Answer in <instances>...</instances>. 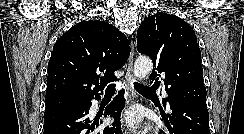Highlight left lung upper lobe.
I'll return each mask as SVG.
<instances>
[{
	"label": "left lung upper lobe",
	"instance_id": "left-lung-upper-lobe-1",
	"mask_svg": "<svg viewBox=\"0 0 244 134\" xmlns=\"http://www.w3.org/2000/svg\"><path fill=\"white\" fill-rule=\"evenodd\" d=\"M137 50L152 59L150 81L159 84L161 79L170 99L206 106L201 52L188 23L175 15L156 13L140 24Z\"/></svg>",
	"mask_w": 244,
	"mask_h": 134
}]
</instances>
